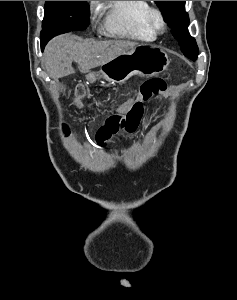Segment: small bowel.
<instances>
[{
  "mask_svg": "<svg viewBox=\"0 0 237 300\" xmlns=\"http://www.w3.org/2000/svg\"><path fill=\"white\" fill-rule=\"evenodd\" d=\"M177 90V87H170L166 90V92L162 94V97L167 101L170 96L174 95L177 92ZM136 99H138L137 96L120 106L116 111L119 113L127 112Z\"/></svg>",
  "mask_w": 237,
  "mask_h": 300,
  "instance_id": "obj_1",
  "label": "small bowel"
}]
</instances>
